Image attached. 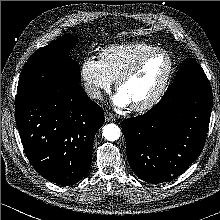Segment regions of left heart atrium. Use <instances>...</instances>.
Wrapping results in <instances>:
<instances>
[{"label": "left heart atrium", "instance_id": "1", "mask_svg": "<svg viewBox=\"0 0 220 220\" xmlns=\"http://www.w3.org/2000/svg\"><path fill=\"white\" fill-rule=\"evenodd\" d=\"M113 102L116 106L124 108L130 105L129 100L126 98V96L121 93L119 90L118 92L115 94L114 98H113Z\"/></svg>", "mask_w": 220, "mask_h": 220}]
</instances>
